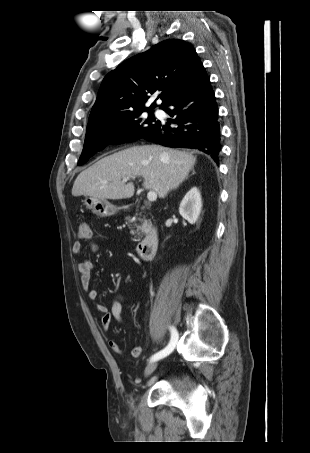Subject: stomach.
<instances>
[{
  "label": "stomach",
  "instance_id": "obj_1",
  "mask_svg": "<svg viewBox=\"0 0 310 453\" xmlns=\"http://www.w3.org/2000/svg\"><path fill=\"white\" fill-rule=\"evenodd\" d=\"M84 204L89 210L92 211V213L99 217L112 216L120 209L105 199H98L91 196H86Z\"/></svg>",
  "mask_w": 310,
  "mask_h": 453
}]
</instances>
